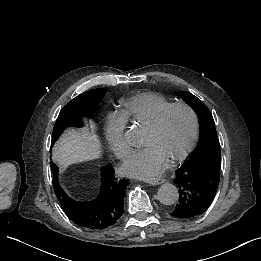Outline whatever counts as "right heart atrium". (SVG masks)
I'll list each match as a JSON object with an SVG mask.
<instances>
[{
  "mask_svg": "<svg viewBox=\"0 0 261 261\" xmlns=\"http://www.w3.org/2000/svg\"><path fill=\"white\" fill-rule=\"evenodd\" d=\"M125 125L123 123H111L109 132L112 136V146L110 151L113 152L118 158H122L128 148V144L123 137Z\"/></svg>",
  "mask_w": 261,
  "mask_h": 261,
  "instance_id": "right-heart-atrium-1",
  "label": "right heart atrium"
}]
</instances>
